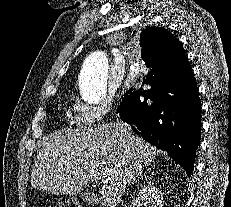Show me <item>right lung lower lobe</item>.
Here are the masks:
<instances>
[{"mask_svg": "<svg viewBox=\"0 0 231 207\" xmlns=\"http://www.w3.org/2000/svg\"><path fill=\"white\" fill-rule=\"evenodd\" d=\"M153 27L143 30L147 37ZM140 88L126 92L117 113L145 141L165 151L191 176L201 135V102L190 64L180 71L148 73Z\"/></svg>", "mask_w": 231, "mask_h": 207, "instance_id": "98d812e1", "label": "right lung lower lobe"}]
</instances>
